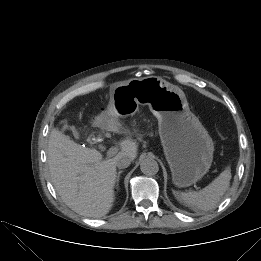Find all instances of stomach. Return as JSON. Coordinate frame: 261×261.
I'll list each match as a JSON object with an SVG mask.
<instances>
[{"instance_id": "stomach-1", "label": "stomach", "mask_w": 261, "mask_h": 261, "mask_svg": "<svg viewBox=\"0 0 261 261\" xmlns=\"http://www.w3.org/2000/svg\"><path fill=\"white\" fill-rule=\"evenodd\" d=\"M112 102L122 118L134 115L140 106H149L158 119L159 136L175 186H191L209 171L214 143L190 111L178 86L157 76L134 78L114 87Z\"/></svg>"}]
</instances>
